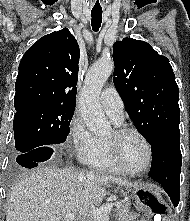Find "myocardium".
<instances>
[{"instance_id": "myocardium-1", "label": "myocardium", "mask_w": 190, "mask_h": 221, "mask_svg": "<svg viewBox=\"0 0 190 221\" xmlns=\"http://www.w3.org/2000/svg\"><path fill=\"white\" fill-rule=\"evenodd\" d=\"M128 133H133L137 135L146 146L148 153V160L146 166L141 170L129 169L124 164L121 158L119 142L121 138ZM105 141L112 160L118 166V168L121 169L124 173L130 175H143L151 169L153 163V148L148 138L139 129L132 126H118L115 129H113L112 136L110 138H106Z\"/></svg>"}]
</instances>
